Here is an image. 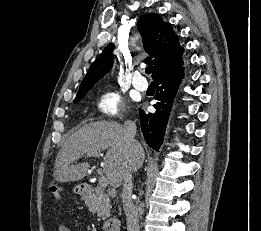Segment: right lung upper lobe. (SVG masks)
Instances as JSON below:
<instances>
[{"mask_svg": "<svg viewBox=\"0 0 261 231\" xmlns=\"http://www.w3.org/2000/svg\"><path fill=\"white\" fill-rule=\"evenodd\" d=\"M144 49L150 55L145 62L153 68L152 78L181 68L183 65V47L172 25L162 20L158 14H144L137 23ZM114 45L109 44L102 54L91 64L82 80L79 93L88 92L112 67Z\"/></svg>", "mask_w": 261, "mask_h": 231, "instance_id": "right-lung-upper-lobe-1", "label": "right lung upper lobe"}]
</instances>
